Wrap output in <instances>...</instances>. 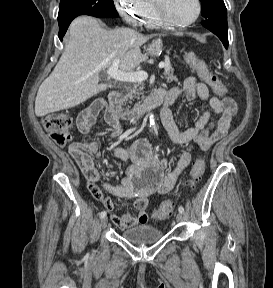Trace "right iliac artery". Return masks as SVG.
Listing matches in <instances>:
<instances>
[{
	"instance_id": "1",
	"label": "right iliac artery",
	"mask_w": 273,
	"mask_h": 288,
	"mask_svg": "<svg viewBox=\"0 0 273 288\" xmlns=\"http://www.w3.org/2000/svg\"><path fill=\"white\" fill-rule=\"evenodd\" d=\"M105 217H106V212H105V211H102V212L100 213V218L103 219V218H105Z\"/></svg>"
}]
</instances>
